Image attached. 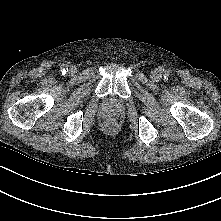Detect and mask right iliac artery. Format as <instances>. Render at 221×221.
Returning a JSON list of instances; mask_svg holds the SVG:
<instances>
[{"instance_id":"1","label":"right iliac artery","mask_w":221,"mask_h":221,"mask_svg":"<svg viewBox=\"0 0 221 221\" xmlns=\"http://www.w3.org/2000/svg\"><path fill=\"white\" fill-rule=\"evenodd\" d=\"M61 68L63 73H65L68 70V67L65 64H63Z\"/></svg>"}]
</instances>
